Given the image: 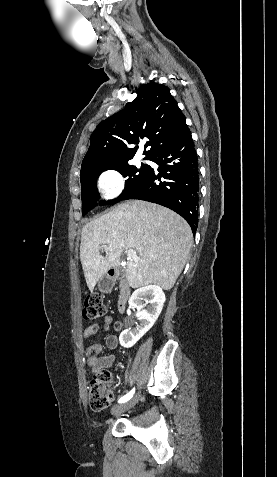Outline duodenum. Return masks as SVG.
<instances>
[{
    "instance_id": "410a0bca",
    "label": "duodenum",
    "mask_w": 277,
    "mask_h": 477,
    "mask_svg": "<svg viewBox=\"0 0 277 477\" xmlns=\"http://www.w3.org/2000/svg\"><path fill=\"white\" fill-rule=\"evenodd\" d=\"M120 279L117 309L120 313L125 312L131 295L129 284L119 268H112L107 272L108 286H111L116 280Z\"/></svg>"
}]
</instances>
